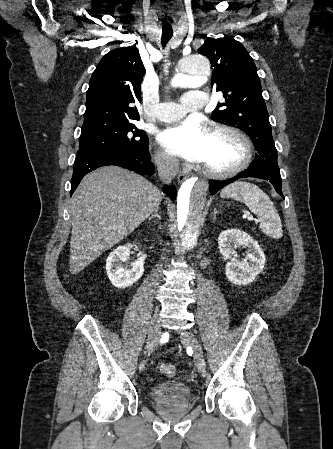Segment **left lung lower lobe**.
Returning <instances> with one entry per match:
<instances>
[{"label": "left lung lower lobe", "mask_w": 333, "mask_h": 449, "mask_svg": "<svg viewBox=\"0 0 333 449\" xmlns=\"http://www.w3.org/2000/svg\"><path fill=\"white\" fill-rule=\"evenodd\" d=\"M244 177H255L270 181L273 184L277 193L284 198L281 190L280 171L272 169H257L253 167H249L247 170L241 172L239 175L225 181H210L209 191L210 193L215 194L218 190L225 187L226 185L236 181L239 178Z\"/></svg>", "instance_id": "1"}]
</instances>
